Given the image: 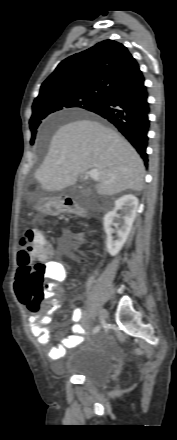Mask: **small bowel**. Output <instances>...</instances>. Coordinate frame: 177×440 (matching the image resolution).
<instances>
[{
	"label": "small bowel",
	"mask_w": 177,
	"mask_h": 440,
	"mask_svg": "<svg viewBox=\"0 0 177 440\" xmlns=\"http://www.w3.org/2000/svg\"><path fill=\"white\" fill-rule=\"evenodd\" d=\"M50 255L45 259V263L48 268V279L61 282L66 277L65 268L62 263L51 260ZM60 292L61 288L59 286H50V296L54 299L47 303L46 313L44 315H40L30 311L27 316L30 333L36 338L40 345H47L50 341V331L46 326L51 323L53 314L59 309V301L56 299V297L59 296ZM83 318V309H74L72 313V334L61 339L57 346H54L49 350L48 356L51 360H58L64 357L67 349L73 348L83 341L85 335V328L81 324Z\"/></svg>",
	"instance_id": "1"
}]
</instances>
